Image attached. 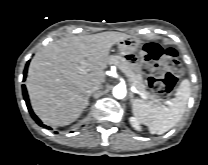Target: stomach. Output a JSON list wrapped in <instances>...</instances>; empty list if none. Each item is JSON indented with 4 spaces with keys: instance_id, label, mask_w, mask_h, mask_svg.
<instances>
[{
    "instance_id": "0dacf381",
    "label": "stomach",
    "mask_w": 208,
    "mask_h": 165,
    "mask_svg": "<svg viewBox=\"0 0 208 165\" xmlns=\"http://www.w3.org/2000/svg\"><path fill=\"white\" fill-rule=\"evenodd\" d=\"M118 47L122 55H124V53L127 51L136 54L138 49L140 48V43L134 39L127 38L125 40L120 41L118 43Z\"/></svg>"
}]
</instances>
